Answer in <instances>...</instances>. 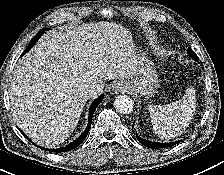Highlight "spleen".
Masks as SVG:
<instances>
[{"mask_svg": "<svg viewBox=\"0 0 224 175\" xmlns=\"http://www.w3.org/2000/svg\"><path fill=\"white\" fill-rule=\"evenodd\" d=\"M196 109L195 88L189 87L182 99L167 105H148L154 133L161 139L181 135L193 119Z\"/></svg>", "mask_w": 224, "mask_h": 175, "instance_id": "spleen-1", "label": "spleen"}]
</instances>
